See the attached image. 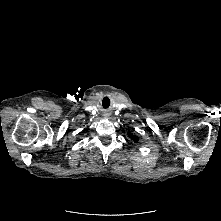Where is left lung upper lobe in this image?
<instances>
[{
  "label": "left lung upper lobe",
  "instance_id": "1",
  "mask_svg": "<svg viewBox=\"0 0 221 221\" xmlns=\"http://www.w3.org/2000/svg\"><path fill=\"white\" fill-rule=\"evenodd\" d=\"M131 138H132V140L134 141V142H137L138 141V137L137 136H134V135H129Z\"/></svg>",
  "mask_w": 221,
  "mask_h": 221
}]
</instances>
